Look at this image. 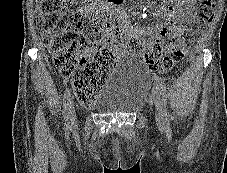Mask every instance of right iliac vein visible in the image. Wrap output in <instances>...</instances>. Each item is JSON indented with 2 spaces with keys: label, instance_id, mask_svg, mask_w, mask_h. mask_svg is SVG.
<instances>
[{
  "label": "right iliac vein",
  "instance_id": "obj_1",
  "mask_svg": "<svg viewBox=\"0 0 227 173\" xmlns=\"http://www.w3.org/2000/svg\"><path fill=\"white\" fill-rule=\"evenodd\" d=\"M69 123L71 126H73L76 123V113H75L73 101H70Z\"/></svg>",
  "mask_w": 227,
  "mask_h": 173
}]
</instances>
